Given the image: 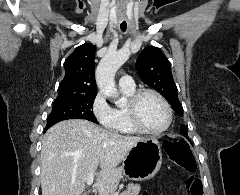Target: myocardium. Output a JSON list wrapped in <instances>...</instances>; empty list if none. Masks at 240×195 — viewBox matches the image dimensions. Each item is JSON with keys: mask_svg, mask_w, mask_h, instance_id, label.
<instances>
[{"mask_svg": "<svg viewBox=\"0 0 240 195\" xmlns=\"http://www.w3.org/2000/svg\"><path fill=\"white\" fill-rule=\"evenodd\" d=\"M147 94L155 96L160 101L164 109L165 120L163 125L158 129H149L145 127L140 117V103L142 98ZM127 109H128V114H129L132 125L140 133L148 134V135H158L166 131L171 124L172 111H171L170 105L167 102V100L164 98V96L156 90L143 88L136 91L134 95L129 99L127 104Z\"/></svg>", "mask_w": 240, "mask_h": 195, "instance_id": "f54148a6", "label": "myocardium"}]
</instances>
